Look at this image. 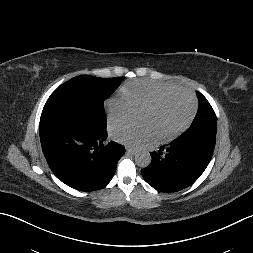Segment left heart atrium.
<instances>
[{
	"mask_svg": "<svg viewBox=\"0 0 253 253\" xmlns=\"http://www.w3.org/2000/svg\"><path fill=\"white\" fill-rule=\"evenodd\" d=\"M153 135L152 129L146 123L138 125L115 124L111 128L113 140L128 146H136L143 141L151 139Z\"/></svg>",
	"mask_w": 253,
	"mask_h": 253,
	"instance_id": "1",
	"label": "left heart atrium"
}]
</instances>
